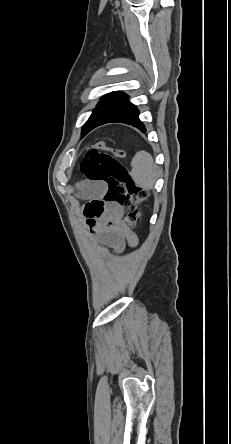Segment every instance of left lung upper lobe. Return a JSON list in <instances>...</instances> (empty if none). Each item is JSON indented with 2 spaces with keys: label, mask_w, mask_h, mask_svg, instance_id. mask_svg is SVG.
<instances>
[{
  "label": "left lung upper lobe",
  "mask_w": 231,
  "mask_h": 444,
  "mask_svg": "<svg viewBox=\"0 0 231 444\" xmlns=\"http://www.w3.org/2000/svg\"><path fill=\"white\" fill-rule=\"evenodd\" d=\"M125 96L127 95L123 92H112L105 95L83 126L82 135L84 136L88 133L91 125L103 119L113 117L119 113L123 106L129 101Z\"/></svg>",
  "instance_id": "left-lung-upper-lobe-1"
}]
</instances>
